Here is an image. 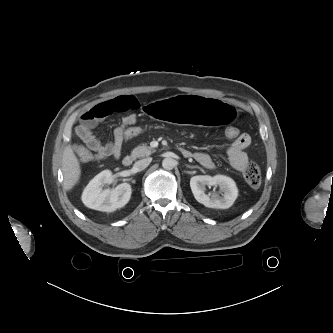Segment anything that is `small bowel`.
<instances>
[{
	"mask_svg": "<svg viewBox=\"0 0 333 333\" xmlns=\"http://www.w3.org/2000/svg\"><path fill=\"white\" fill-rule=\"evenodd\" d=\"M139 108L138 100L132 95H123L100 102L80 115V125L76 128V134L83 142V146H77L76 150H85L94 154L95 158L104 160L109 157L119 158L122 152L123 138L121 130L130 124L137 122V115L129 113L125 115L121 123L114 129L113 138L106 144H102L93 134V129L104 118L118 112H131ZM251 138L248 134L242 133L233 140L227 150L230 165L238 170L244 171L248 164L247 147ZM193 158L202 166L208 169L214 167L212 158L203 152L192 154Z\"/></svg>",
	"mask_w": 333,
	"mask_h": 333,
	"instance_id": "small-bowel-1",
	"label": "small bowel"
}]
</instances>
